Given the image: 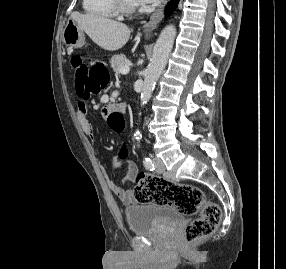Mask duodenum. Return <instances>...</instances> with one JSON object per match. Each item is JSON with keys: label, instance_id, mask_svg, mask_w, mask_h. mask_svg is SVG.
<instances>
[{"label": "duodenum", "instance_id": "410a0bca", "mask_svg": "<svg viewBox=\"0 0 286 269\" xmlns=\"http://www.w3.org/2000/svg\"><path fill=\"white\" fill-rule=\"evenodd\" d=\"M108 108L110 110H113L114 108H117L119 111L124 112L126 110V105L125 104H120L118 106L109 105Z\"/></svg>", "mask_w": 286, "mask_h": 269}]
</instances>
